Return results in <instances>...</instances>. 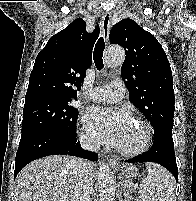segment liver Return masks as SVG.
Instances as JSON below:
<instances>
[{
    "label": "liver",
    "mask_w": 196,
    "mask_h": 201,
    "mask_svg": "<svg viewBox=\"0 0 196 201\" xmlns=\"http://www.w3.org/2000/svg\"><path fill=\"white\" fill-rule=\"evenodd\" d=\"M70 156L53 155L26 165L15 181L16 201H74V162ZM93 182L95 169L88 164Z\"/></svg>",
    "instance_id": "liver-1"
}]
</instances>
